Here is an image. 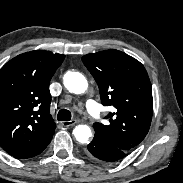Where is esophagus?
<instances>
[{"label": "esophagus", "mask_w": 183, "mask_h": 183, "mask_svg": "<svg viewBox=\"0 0 183 183\" xmlns=\"http://www.w3.org/2000/svg\"><path fill=\"white\" fill-rule=\"evenodd\" d=\"M76 123V120H70V121H62L61 125L64 127H70L73 126Z\"/></svg>", "instance_id": "1"}]
</instances>
